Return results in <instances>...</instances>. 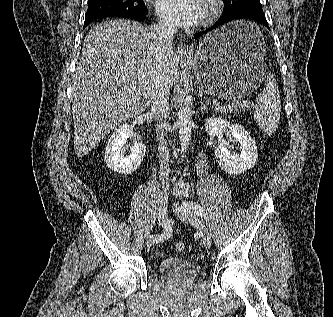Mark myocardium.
Returning a JSON list of instances; mask_svg holds the SVG:
<instances>
[{
    "instance_id": "1",
    "label": "myocardium",
    "mask_w": 333,
    "mask_h": 317,
    "mask_svg": "<svg viewBox=\"0 0 333 317\" xmlns=\"http://www.w3.org/2000/svg\"><path fill=\"white\" fill-rule=\"evenodd\" d=\"M221 9V0H204V11L201 21L202 25H207L215 19L220 14Z\"/></svg>"
}]
</instances>
